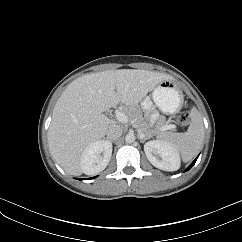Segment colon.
Here are the masks:
<instances>
[{"label":"colon","instance_id":"5ec220e1","mask_svg":"<svg viewBox=\"0 0 242 242\" xmlns=\"http://www.w3.org/2000/svg\"><path fill=\"white\" fill-rule=\"evenodd\" d=\"M189 120V114L184 111L182 112L178 117H177V122L180 124V125H185Z\"/></svg>","mask_w":242,"mask_h":242}]
</instances>
